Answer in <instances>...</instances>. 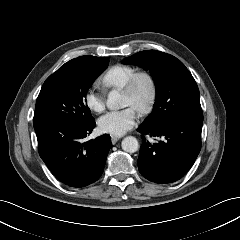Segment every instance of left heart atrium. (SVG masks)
Listing matches in <instances>:
<instances>
[{"mask_svg": "<svg viewBox=\"0 0 240 240\" xmlns=\"http://www.w3.org/2000/svg\"><path fill=\"white\" fill-rule=\"evenodd\" d=\"M136 121V111L131 108L109 111L98 120V128L102 133L120 136L131 129Z\"/></svg>", "mask_w": 240, "mask_h": 240, "instance_id": "left-heart-atrium-1", "label": "left heart atrium"}]
</instances>
